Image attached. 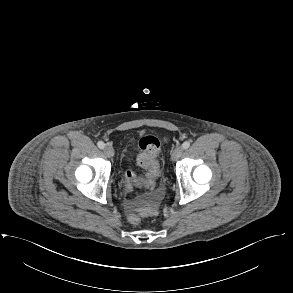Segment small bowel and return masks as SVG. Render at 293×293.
Returning <instances> with one entry per match:
<instances>
[{"instance_id":"small-bowel-1","label":"small bowel","mask_w":293,"mask_h":293,"mask_svg":"<svg viewBox=\"0 0 293 293\" xmlns=\"http://www.w3.org/2000/svg\"><path fill=\"white\" fill-rule=\"evenodd\" d=\"M137 184V183H136ZM134 186V185H133ZM133 186H127L126 185V190L127 191H130L132 190ZM135 202L132 200V199H126L125 201V209H126V212L128 214H131L134 212V209H135Z\"/></svg>"}]
</instances>
